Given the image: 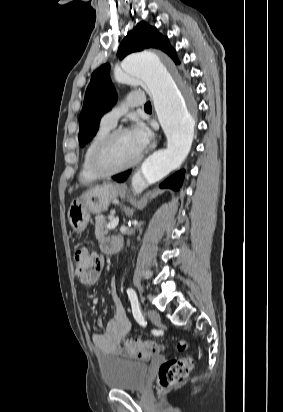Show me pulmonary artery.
Instances as JSON below:
<instances>
[{
  "instance_id": "e3ab8cb5",
  "label": "pulmonary artery",
  "mask_w": 283,
  "mask_h": 412,
  "mask_svg": "<svg viewBox=\"0 0 283 412\" xmlns=\"http://www.w3.org/2000/svg\"><path fill=\"white\" fill-rule=\"evenodd\" d=\"M146 103V98L142 93H130L123 101L106 112L101 118V124L113 128L118 119L124 115L129 108L143 106Z\"/></svg>"
}]
</instances>
